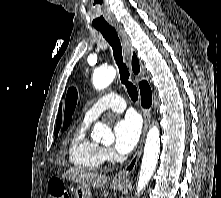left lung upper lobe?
<instances>
[{
  "label": "left lung upper lobe",
  "mask_w": 221,
  "mask_h": 198,
  "mask_svg": "<svg viewBox=\"0 0 221 198\" xmlns=\"http://www.w3.org/2000/svg\"><path fill=\"white\" fill-rule=\"evenodd\" d=\"M77 103V91L75 88H69L66 96L65 114H64V129H66L72 119V114Z\"/></svg>",
  "instance_id": "5c2ea615"
}]
</instances>
